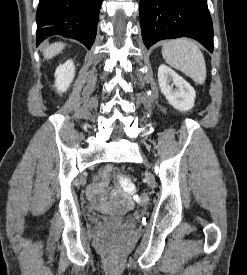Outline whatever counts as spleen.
I'll list each match as a JSON object with an SVG mask.
<instances>
[{
  "label": "spleen",
  "instance_id": "1",
  "mask_svg": "<svg viewBox=\"0 0 247 275\" xmlns=\"http://www.w3.org/2000/svg\"><path fill=\"white\" fill-rule=\"evenodd\" d=\"M161 52L171 67L182 71L196 83L205 82L204 56L194 41L186 38L170 40L163 44Z\"/></svg>",
  "mask_w": 247,
  "mask_h": 275
}]
</instances>
